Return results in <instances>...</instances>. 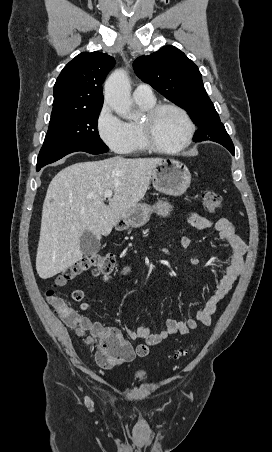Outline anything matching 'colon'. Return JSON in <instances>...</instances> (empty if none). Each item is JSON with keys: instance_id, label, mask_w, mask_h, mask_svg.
<instances>
[{"instance_id": "colon-1", "label": "colon", "mask_w": 272, "mask_h": 452, "mask_svg": "<svg viewBox=\"0 0 272 452\" xmlns=\"http://www.w3.org/2000/svg\"><path fill=\"white\" fill-rule=\"evenodd\" d=\"M201 198L203 208L207 212H215L222 205V198L214 189H205L202 192ZM114 267L115 258L111 254L95 253L83 257L80 261L73 264L55 278L54 284L46 292L48 303L58 315H69L72 309L67 305L65 300L59 296L56 290L57 287L63 286L67 281L87 270H91L95 276L106 280L113 273ZM97 343L98 352L96 355V362L104 368L120 366L129 361L131 357L130 347L119 338L101 336ZM147 351V348L144 346L136 348L138 354H143ZM185 354V350H179L174 354L173 358L179 359Z\"/></svg>"}]
</instances>
